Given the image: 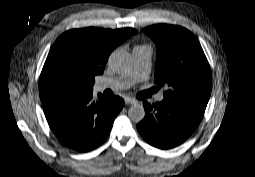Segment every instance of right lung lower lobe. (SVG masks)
Masks as SVG:
<instances>
[{
	"mask_svg": "<svg viewBox=\"0 0 255 177\" xmlns=\"http://www.w3.org/2000/svg\"><path fill=\"white\" fill-rule=\"evenodd\" d=\"M93 92L43 102L47 122L68 147L86 152L99 146L109 135L115 117L124 105L118 96L106 98Z\"/></svg>",
	"mask_w": 255,
	"mask_h": 177,
	"instance_id": "98d812e1",
	"label": "right lung lower lobe"
}]
</instances>
